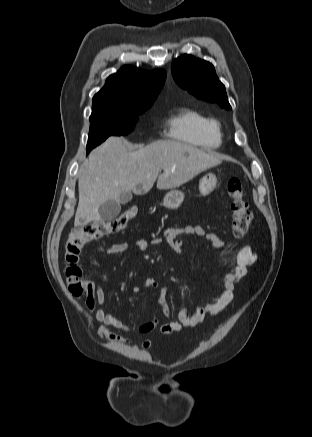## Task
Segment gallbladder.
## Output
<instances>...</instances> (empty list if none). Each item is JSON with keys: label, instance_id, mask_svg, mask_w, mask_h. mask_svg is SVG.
<instances>
[{"label": "gallbladder", "instance_id": "1", "mask_svg": "<svg viewBox=\"0 0 312 437\" xmlns=\"http://www.w3.org/2000/svg\"><path fill=\"white\" fill-rule=\"evenodd\" d=\"M132 199L131 192H122L119 200H109L99 207L98 213L102 221H111L115 219L121 210V204H126Z\"/></svg>", "mask_w": 312, "mask_h": 437}]
</instances>
